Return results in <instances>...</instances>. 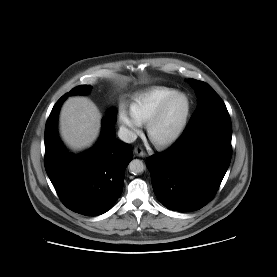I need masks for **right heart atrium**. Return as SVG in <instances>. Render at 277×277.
<instances>
[{
	"label": "right heart atrium",
	"mask_w": 277,
	"mask_h": 277,
	"mask_svg": "<svg viewBox=\"0 0 277 277\" xmlns=\"http://www.w3.org/2000/svg\"><path fill=\"white\" fill-rule=\"evenodd\" d=\"M118 122L129 134L139 131L140 124L129 114L124 106L119 108Z\"/></svg>",
	"instance_id": "obj_1"
}]
</instances>
